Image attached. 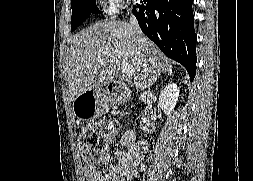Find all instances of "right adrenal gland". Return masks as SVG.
Wrapping results in <instances>:
<instances>
[{
  "label": "right adrenal gland",
  "mask_w": 253,
  "mask_h": 181,
  "mask_svg": "<svg viewBox=\"0 0 253 181\" xmlns=\"http://www.w3.org/2000/svg\"><path fill=\"white\" fill-rule=\"evenodd\" d=\"M167 76L172 75V71L166 73Z\"/></svg>",
  "instance_id": "right-adrenal-gland-1"
}]
</instances>
